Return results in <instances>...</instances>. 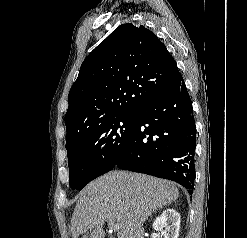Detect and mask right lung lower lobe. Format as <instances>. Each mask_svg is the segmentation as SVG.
Here are the masks:
<instances>
[{
  "mask_svg": "<svg viewBox=\"0 0 247 238\" xmlns=\"http://www.w3.org/2000/svg\"><path fill=\"white\" fill-rule=\"evenodd\" d=\"M115 167L181 184L191 194L195 180L196 130L183 77L142 106Z\"/></svg>",
  "mask_w": 247,
  "mask_h": 238,
  "instance_id": "right-lung-lower-lobe-1",
  "label": "right lung lower lobe"
}]
</instances>
